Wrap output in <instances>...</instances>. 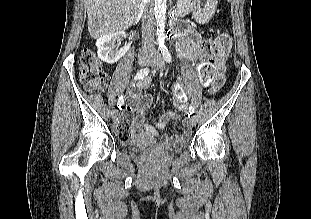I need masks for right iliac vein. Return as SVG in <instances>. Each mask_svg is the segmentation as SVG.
Listing matches in <instances>:
<instances>
[{
    "instance_id": "1",
    "label": "right iliac vein",
    "mask_w": 311,
    "mask_h": 219,
    "mask_svg": "<svg viewBox=\"0 0 311 219\" xmlns=\"http://www.w3.org/2000/svg\"><path fill=\"white\" fill-rule=\"evenodd\" d=\"M150 61H151V57L150 56L141 55L139 57L138 64L143 67V66H146L148 64V62H150ZM112 119L114 121H116L118 119V110H113L112 111Z\"/></svg>"
}]
</instances>
